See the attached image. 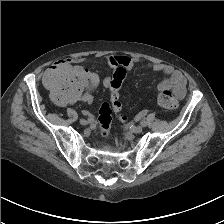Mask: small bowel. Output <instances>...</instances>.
I'll return each mask as SVG.
<instances>
[{"label":"small bowel","instance_id":"c3829d8e","mask_svg":"<svg viewBox=\"0 0 224 224\" xmlns=\"http://www.w3.org/2000/svg\"><path fill=\"white\" fill-rule=\"evenodd\" d=\"M107 64L111 68H124L127 71H130L134 68L135 65L143 63L142 60L125 56V55H110L106 58ZM67 61L70 63V61H73L75 63H81L84 61L83 58H75L73 60H62ZM149 69H151L154 72H161L167 76L166 79L161 81L156 89L157 91H166L171 90L175 94V96L179 99L183 98L186 94V79L183 76V74L173 69L171 66L161 63H146L145 64ZM121 120H124V116L120 117Z\"/></svg>","mask_w":224,"mask_h":224}]
</instances>
